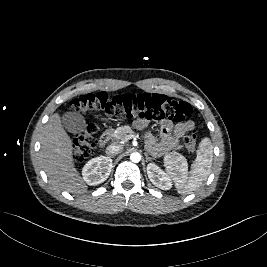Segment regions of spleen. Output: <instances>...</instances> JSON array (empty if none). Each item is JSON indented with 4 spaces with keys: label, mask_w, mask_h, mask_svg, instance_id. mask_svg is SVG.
Wrapping results in <instances>:
<instances>
[{
    "label": "spleen",
    "mask_w": 267,
    "mask_h": 267,
    "mask_svg": "<svg viewBox=\"0 0 267 267\" xmlns=\"http://www.w3.org/2000/svg\"><path fill=\"white\" fill-rule=\"evenodd\" d=\"M213 160V146L210 138L201 140L196 152V159L192 164V169L188 172L186 159L176 153L172 159L165 162L166 170L176 184L178 193L187 195L196 191L202 182L210 174Z\"/></svg>",
    "instance_id": "3e777b00"
}]
</instances>
